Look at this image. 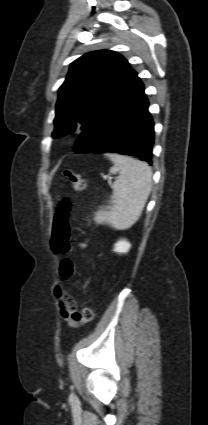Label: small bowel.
Segmentation results:
<instances>
[{"label": "small bowel", "mask_w": 208, "mask_h": 425, "mask_svg": "<svg viewBox=\"0 0 208 425\" xmlns=\"http://www.w3.org/2000/svg\"><path fill=\"white\" fill-rule=\"evenodd\" d=\"M60 307H61V314L62 317L66 320H69V315L65 306V303L63 301L60 300Z\"/></svg>", "instance_id": "small-bowel-1"}]
</instances>
